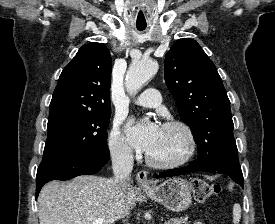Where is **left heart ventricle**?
Returning <instances> with one entry per match:
<instances>
[{
  "label": "left heart ventricle",
  "mask_w": 275,
  "mask_h": 224,
  "mask_svg": "<svg viewBox=\"0 0 275 224\" xmlns=\"http://www.w3.org/2000/svg\"><path fill=\"white\" fill-rule=\"evenodd\" d=\"M186 148V138L181 130L161 127L160 136L148 155L157 161H172L181 157Z\"/></svg>",
  "instance_id": "b2bd125f"
}]
</instances>
